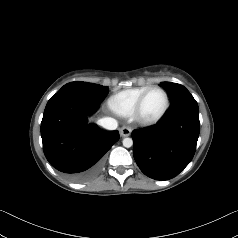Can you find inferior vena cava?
Segmentation results:
<instances>
[{
    "label": "inferior vena cava",
    "instance_id": "1",
    "mask_svg": "<svg viewBox=\"0 0 238 238\" xmlns=\"http://www.w3.org/2000/svg\"><path fill=\"white\" fill-rule=\"evenodd\" d=\"M98 124L108 130H115L118 126L117 121L111 117H105L98 120Z\"/></svg>",
    "mask_w": 238,
    "mask_h": 238
}]
</instances>
